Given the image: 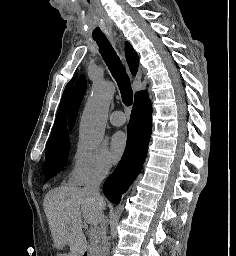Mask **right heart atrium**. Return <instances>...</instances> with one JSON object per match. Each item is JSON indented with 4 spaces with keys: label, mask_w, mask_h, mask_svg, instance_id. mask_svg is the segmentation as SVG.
<instances>
[{
    "label": "right heart atrium",
    "mask_w": 236,
    "mask_h": 256,
    "mask_svg": "<svg viewBox=\"0 0 236 256\" xmlns=\"http://www.w3.org/2000/svg\"><path fill=\"white\" fill-rule=\"evenodd\" d=\"M112 170V162L103 148L86 150L77 145L71 158L68 183L74 186H85L101 182Z\"/></svg>",
    "instance_id": "d8ad5b80"
}]
</instances>
